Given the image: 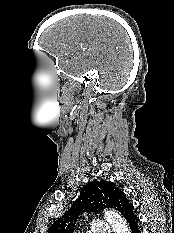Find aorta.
<instances>
[{
  "label": "aorta",
  "instance_id": "aorta-1",
  "mask_svg": "<svg viewBox=\"0 0 174 233\" xmlns=\"http://www.w3.org/2000/svg\"><path fill=\"white\" fill-rule=\"evenodd\" d=\"M104 215L114 233H130L127 223L117 212L106 210Z\"/></svg>",
  "mask_w": 174,
  "mask_h": 233
}]
</instances>
